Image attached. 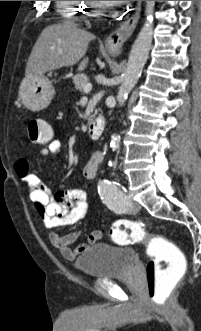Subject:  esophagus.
I'll return each instance as SVG.
<instances>
[{
    "instance_id": "esophagus-1",
    "label": "esophagus",
    "mask_w": 201,
    "mask_h": 331,
    "mask_svg": "<svg viewBox=\"0 0 201 331\" xmlns=\"http://www.w3.org/2000/svg\"><path fill=\"white\" fill-rule=\"evenodd\" d=\"M141 1H138L134 14L113 31L105 41L106 47L113 54L122 52L124 42L132 35L140 16Z\"/></svg>"
}]
</instances>
